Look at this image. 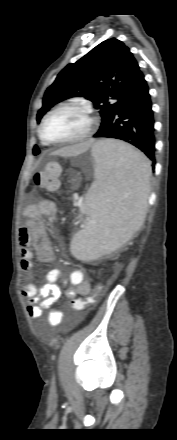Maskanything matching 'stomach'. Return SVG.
<instances>
[{
	"label": "stomach",
	"mask_w": 177,
	"mask_h": 440,
	"mask_svg": "<svg viewBox=\"0 0 177 440\" xmlns=\"http://www.w3.org/2000/svg\"><path fill=\"white\" fill-rule=\"evenodd\" d=\"M95 145H96V144L93 145L92 150L94 149Z\"/></svg>",
	"instance_id": "obj_1"
}]
</instances>
